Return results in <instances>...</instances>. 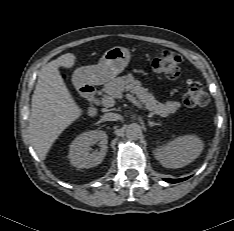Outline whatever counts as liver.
Listing matches in <instances>:
<instances>
[{
  "label": "liver",
  "instance_id": "1",
  "mask_svg": "<svg viewBox=\"0 0 234 231\" xmlns=\"http://www.w3.org/2000/svg\"><path fill=\"white\" fill-rule=\"evenodd\" d=\"M76 57L61 55L42 67L32 95L29 134L38 156L44 160L61 133L83 114L75 102L59 67L72 68Z\"/></svg>",
  "mask_w": 234,
  "mask_h": 231
}]
</instances>
